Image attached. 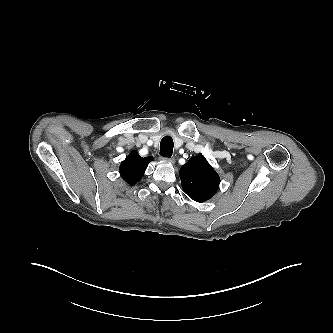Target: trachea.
Instances as JSON below:
<instances>
[{
    "label": "trachea",
    "mask_w": 333,
    "mask_h": 333,
    "mask_svg": "<svg viewBox=\"0 0 333 333\" xmlns=\"http://www.w3.org/2000/svg\"><path fill=\"white\" fill-rule=\"evenodd\" d=\"M173 147V139L170 136H165L160 143V155L170 158L172 156Z\"/></svg>",
    "instance_id": "trachea-1"
}]
</instances>
